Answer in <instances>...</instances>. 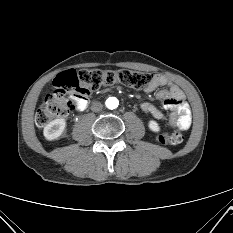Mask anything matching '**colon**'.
Segmentation results:
<instances>
[{
    "instance_id": "colon-1",
    "label": "colon",
    "mask_w": 233,
    "mask_h": 233,
    "mask_svg": "<svg viewBox=\"0 0 233 233\" xmlns=\"http://www.w3.org/2000/svg\"><path fill=\"white\" fill-rule=\"evenodd\" d=\"M151 81L150 73L128 69L64 71L56 77L53 91L45 97L39 107L35 116L36 125L44 127L51 120L68 115L81 101L87 100L91 92L101 87L122 84L134 89H145ZM156 139L162 145H178L183 141V135L179 131L162 132Z\"/></svg>"
}]
</instances>
